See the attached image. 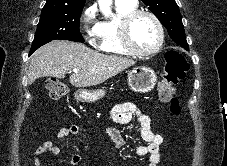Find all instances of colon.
<instances>
[{
  "instance_id": "colon-1",
  "label": "colon",
  "mask_w": 227,
  "mask_h": 166,
  "mask_svg": "<svg viewBox=\"0 0 227 166\" xmlns=\"http://www.w3.org/2000/svg\"><path fill=\"white\" fill-rule=\"evenodd\" d=\"M187 71V63L181 52L170 50L166 56V65L162 81L158 85V96L160 101L170 104L171 113L178 115L180 106L175 98L176 85L183 81ZM47 88L52 100H58L66 94V87L56 79L47 81Z\"/></svg>"
}]
</instances>
